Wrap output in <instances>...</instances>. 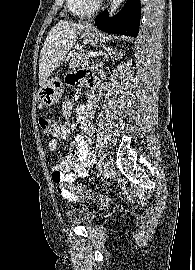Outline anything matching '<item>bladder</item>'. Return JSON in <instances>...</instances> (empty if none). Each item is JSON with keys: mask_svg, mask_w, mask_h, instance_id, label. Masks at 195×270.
<instances>
[{"mask_svg": "<svg viewBox=\"0 0 195 270\" xmlns=\"http://www.w3.org/2000/svg\"><path fill=\"white\" fill-rule=\"evenodd\" d=\"M67 218L71 223L88 225L95 219V213L85 207H74L68 210Z\"/></svg>", "mask_w": 195, "mask_h": 270, "instance_id": "1", "label": "bladder"}]
</instances>
